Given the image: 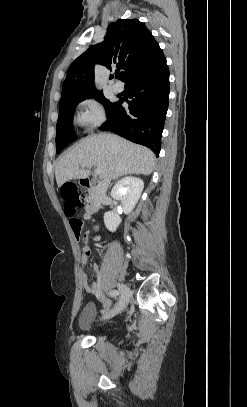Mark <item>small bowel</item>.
<instances>
[{
    "label": "small bowel",
    "instance_id": "small-bowel-1",
    "mask_svg": "<svg viewBox=\"0 0 247 407\" xmlns=\"http://www.w3.org/2000/svg\"><path fill=\"white\" fill-rule=\"evenodd\" d=\"M89 256H90V250L87 247L83 248L82 253H81V262L83 265V272H84L83 287L86 290V292L91 293V294H96L98 292V284L97 283L89 284L88 280H87L86 271H87V262H88ZM99 270H100L99 266L95 264L93 266L94 274L97 275L99 273ZM102 302L105 307H109L111 305V301L109 299L105 298L102 300Z\"/></svg>",
    "mask_w": 247,
    "mask_h": 407
}]
</instances>
